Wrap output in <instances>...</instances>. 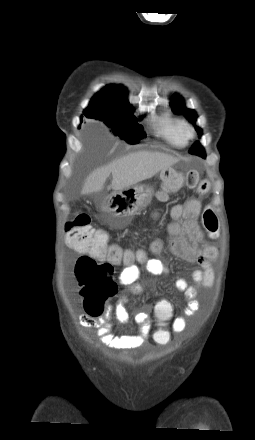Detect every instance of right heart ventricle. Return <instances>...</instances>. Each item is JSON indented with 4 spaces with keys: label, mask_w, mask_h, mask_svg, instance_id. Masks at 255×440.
<instances>
[{
    "label": "right heart ventricle",
    "mask_w": 255,
    "mask_h": 440,
    "mask_svg": "<svg viewBox=\"0 0 255 440\" xmlns=\"http://www.w3.org/2000/svg\"><path fill=\"white\" fill-rule=\"evenodd\" d=\"M184 121L170 113L163 114L156 123V133L173 147H183L186 139L183 136Z\"/></svg>",
    "instance_id": "e07e8e85"
}]
</instances>
